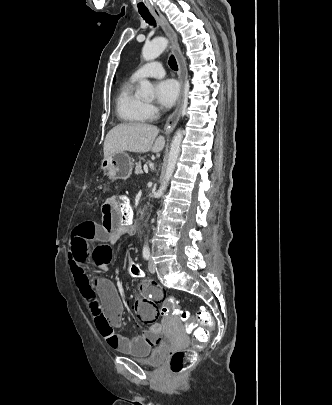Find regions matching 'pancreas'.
<instances>
[{
  "mask_svg": "<svg viewBox=\"0 0 332 405\" xmlns=\"http://www.w3.org/2000/svg\"><path fill=\"white\" fill-rule=\"evenodd\" d=\"M135 174H136V175H141V174H143L142 166H141V162H140V161L135 163Z\"/></svg>",
  "mask_w": 332,
  "mask_h": 405,
  "instance_id": "pancreas-1",
  "label": "pancreas"
}]
</instances>
